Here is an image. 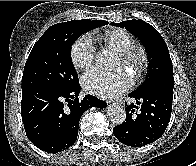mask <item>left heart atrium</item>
Returning a JSON list of instances; mask_svg holds the SVG:
<instances>
[{
    "label": "left heart atrium",
    "mask_w": 196,
    "mask_h": 166,
    "mask_svg": "<svg viewBox=\"0 0 196 166\" xmlns=\"http://www.w3.org/2000/svg\"><path fill=\"white\" fill-rule=\"evenodd\" d=\"M133 84L131 74L124 69L104 71L92 69L82 77L85 91L101 97H112L129 89Z\"/></svg>",
    "instance_id": "left-heart-atrium-1"
}]
</instances>
